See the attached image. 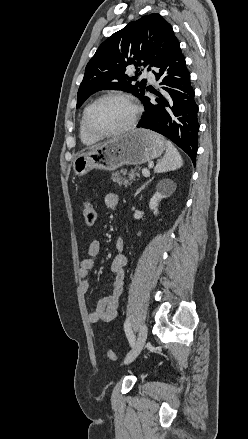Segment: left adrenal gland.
Here are the masks:
<instances>
[{"label": "left adrenal gland", "instance_id": "left-adrenal-gland-1", "mask_svg": "<svg viewBox=\"0 0 248 439\" xmlns=\"http://www.w3.org/2000/svg\"><path fill=\"white\" fill-rule=\"evenodd\" d=\"M153 180V178L152 179H150L149 181H147L146 183H144L137 191H136V193H135V196H137L145 187H146V185H148L151 181Z\"/></svg>", "mask_w": 248, "mask_h": 439}]
</instances>
